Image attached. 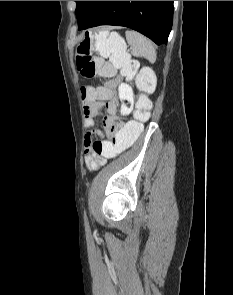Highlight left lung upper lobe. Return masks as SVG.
Masks as SVG:
<instances>
[{"instance_id": "5c2ea615", "label": "left lung upper lobe", "mask_w": 233, "mask_h": 295, "mask_svg": "<svg viewBox=\"0 0 233 295\" xmlns=\"http://www.w3.org/2000/svg\"><path fill=\"white\" fill-rule=\"evenodd\" d=\"M79 30L87 23L99 1H75Z\"/></svg>"}]
</instances>
